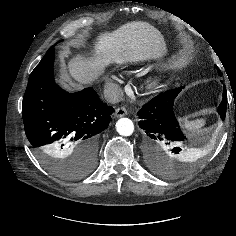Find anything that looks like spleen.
I'll return each mask as SVG.
<instances>
[{
    "label": "spleen",
    "instance_id": "obj_1",
    "mask_svg": "<svg viewBox=\"0 0 236 236\" xmlns=\"http://www.w3.org/2000/svg\"><path fill=\"white\" fill-rule=\"evenodd\" d=\"M205 125V120L197 119L193 121L184 120L182 122L183 128L191 135L199 134L202 132V127Z\"/></svg>",
    "mask_w": 236,
    "mask_h": 236
}]
</instances>
